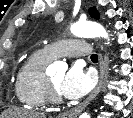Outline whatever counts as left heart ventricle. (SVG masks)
Returning <instances> with one entry per match:
<instances>
[{
  "instance_id": "1",
  "label": "left heart ventricle",
  "mask_w": 133,
  "mask_h": 118,
  "mask_svg": "<svg viewBox=\"0 0 133 118\" xmlns=\"http://www.w3.org/2000/svg\"><path fill=\"white\" fill-rule=\"evenodd\" d=\"M64 74L63 73H57L54 74L52 76H49V78L51 79L54 87L56 88V90L59 92V86L63 80Z\"/></svg>"
}]
</instances>
